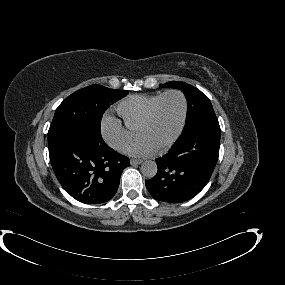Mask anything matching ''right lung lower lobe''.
I'll list each match as a JSON object with an SVG mask.
<instances>
[{
    "instance_id": "obj_1",
    "label": "right lung lower lobe",
    "mask_w": 285,
    "mask_h": 285,
    "mask_svg": "<svg viewBox=\"0 0 285 285\" xmlns=\"http://www.w3.org/2000/svg\"><path fill=\"white\" fill-rule=\"evenodd\" d=\"M54 173L76 200L100 204L115 195L129 158L110 148L102 138L68 132L48 145Z\"/></svg>"
}]
</instances>
